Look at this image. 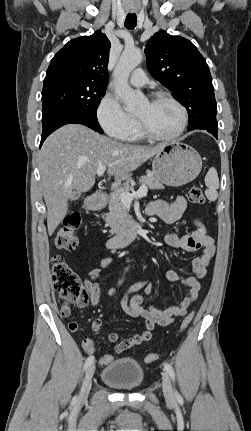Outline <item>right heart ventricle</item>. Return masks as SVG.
I'll return each mask as SVG.
<instances>
[{
	"label": "right heart ventricle",
	"mask_w": 251,
	"mask_h": 431,
	"mask_svg": "<svg viewBox=\"0 0 251 431\" xmlns=\"http://www.w3.org/2000/svg\"><path fill=\"white\" fill-rule=\"evenodd\" d=\"M142 138H143V136L139 132L138 127H137V123H136L133 130L128 134V136H126L124 138V140L129 141V142H136V141L141 140Z\"/></svg>",
	"instance_id": "e07e8e85"
}]
</instances>
